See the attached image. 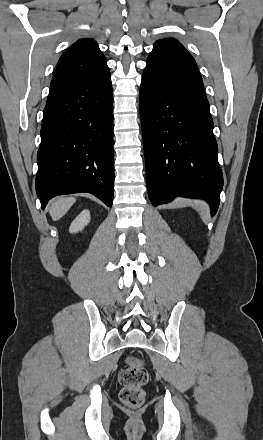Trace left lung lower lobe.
Here are the masks:
<instances>
[{
	"mask_svg": "<svg viewBox=\"0 0 263 440\" xmlns=\"http://www.w3.org/2000/svg\"><path fill=\"white\" fill-rule=\"evenodd\" d=\"M139 100L150 201L158 206L175 196L205 199L215 215L223 175L195 60L167 45L147 61Z\"/></svg>",
	"mask_w": 263,
	"mask_h": 440,
	"instance_id": "left-lung-lower-lobe-1",
	"label": "left lung lower lobe"
}]
</instances>
